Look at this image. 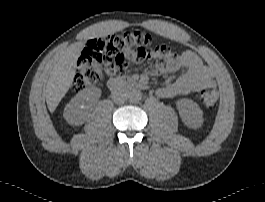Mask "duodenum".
<instances>
[{
  "label": "duodenum",
  "mask_w": 265,
  "mask_h": 202,
  "mask_svg": "<svg viewBox=\"0 0 265 202\" xmlns=\"http://www.w3.org/2000/svg\"><path fill=\"white\" fill-rule=\"evenodd\" d=\"M107 87L111 92H119L120 90L127 89H142L144 84L126 76H114L107 81Z\"/></svg>",
  "instance_id": "obj_1"
}]
</instances>
